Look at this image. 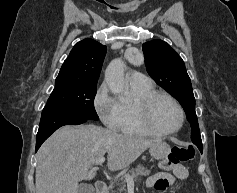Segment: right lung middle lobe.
Returning a JSON list of instances; mask_svg holds the SVG:
<instances>
[{
    "label": "right lung middle lobe",
    "mask_w": 237,
    "mask_h": 193,
    "mask_svg": "<svg viewBox=\"0 0 237 193\" xmlns=\"http://www.w3.org/2000/svg\"><path fill=\"white\" fill-rule=\"evenodd\" d=\"M97 83L56 79L43 111H51L66 116L82 119L98 120L94 108Z\"/></svg>",
    "instance_id": "dd1d6c3e"
}]
</instances>
